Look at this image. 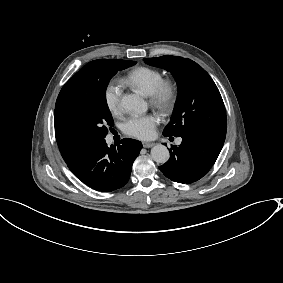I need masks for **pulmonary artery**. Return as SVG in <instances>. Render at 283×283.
Wrapping results in <instances>:
<instances>
[{
  "mask_svg": "<svg viewBox=\"0 0 283 283\" xmlns=\"http://www.w3.org/2000/svg\"><path fill=\"white\" fill-rule=\"evenodd\" d=\"M111 142V137H108L107 138V143H110ZM181 143V139H178L177 140V144H180Z\"/></svg>",
  "mask_w": 283,
  "mask_h": 283,
  "instance_id": "pulmonary-artery-1",
  "label": "pulmonary artery"
}]
</instances>
